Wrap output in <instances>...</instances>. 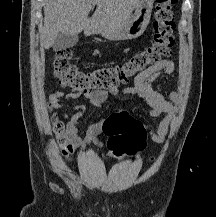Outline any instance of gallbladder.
Segmentation results:
<instances>
[{
	"instance_id": "gallbladder-1",
	"label": "gallbladder",
	"mask_w": 216,
	"mask_h": 217,
	"mask_svg": "<svg viewBox=\"0 0 216 217\" xmlns=\"http://www.w3.org/2000/svg\"><path fill=\"white\" fill-rule=\"evenodd\" d=\"M77 42H78V36L76 34L71 35V34L60 33L55 39V42L52 47L54 51H60V50L74 47Z\"/></svg>"
}]
</instances>
